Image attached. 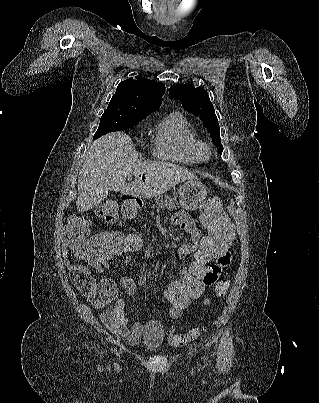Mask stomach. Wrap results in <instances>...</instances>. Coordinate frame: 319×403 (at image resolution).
<instances>
[{
  "instance_id": "0dacf381",
  "label": "stomach",
  "mask_w": 319,
  "mask_h": 403,
  "mask_svg": "<svg viewBox=\"0 0 319 403\" xmlns=\"http://www.w3.org/2000/svg\"><path fill=\"white\" fill-rule=\"evenodd\" d=\"M206 188L198 179L187 180L179 190V204L189 211L196 210L205 200Z\"/></svg>"
}]
</instances>
